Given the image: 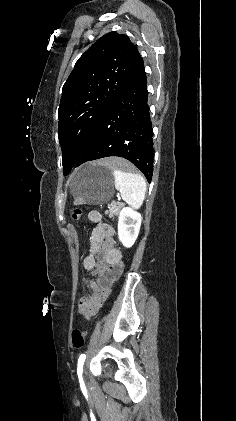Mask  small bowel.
I'll list each match as a JSON object with an SVG mask.
<instances>
[{
    "label": "small bowel",
    "mask_w": 236,
    "mask_h": 421,
    "mask_svg": "<svg viewBox=\"0 0 236 421\" xmlns=\"http://www.w3.org/2000/svg\"><path fill=\"white\" fill-rule=\"evenodd\" d=\"M88 218L91 223L95 225L92 240L95 242L97 240H106L108 243L112 241L114 235V229L111 225L103 223L101 220V214L97 211H91L88 214ZM92 256L88 257V262L91 261ZM83 305L80 307V311H83Z\"/></svg>",
    "instance_id": "c3829d8e"
}]
</instances>
